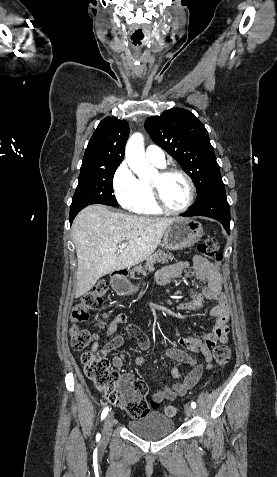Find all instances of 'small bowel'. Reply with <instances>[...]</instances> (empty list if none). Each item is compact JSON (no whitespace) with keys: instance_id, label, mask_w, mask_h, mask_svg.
<instances>
[{"instance_id":"small-bowel-1","label":"small bowel","mask_w":277,"mask_h":477,"mask_svg":"<svg viewBox=\"0 0 277 477\" xmlns=\"http://www.w3.org/2000/svg\"><path fill=\"white\" fill-rule=\"evenodd\" d=\"M192 267L196 272V277L200 283L204 285L202 293L192 290L187 300L181 302L178 308L181 310H191L199 307L202 303L203 297L208 300L215 301V306L211 309L210 315L215 318L214 325L209 332H204L199 335L192 334L188 337L178 338V342L182 348H168L165 352L166 356L175 361L188 364L193 369L185 376L183 381L176 382L172 386H166L157 389L152 401L159 403L162 400H174L177 397L183 396L186 392L194 387L200 380L203 369L212 368V351L217 343H225L228 334V319L229 307L227 298L222 290V281L219 273L213 264L202 256H195L193 262H177L162 267L157 272V280L167 285L173 279L182 275L184 270ZM129 320L125 314H118L107 326L106 338H109L104 346L99 349L102 338H98L92 345V351L106 356L110 352L118 349L127 340H133L142 350H147L150 347L149 339L141 332V330L133 325L127 326V332L124 335H115L120 324L127 323ZM112 336V337H111ZM188 351H199L205 360V366L200 364ZM126 359L124 352L113 356L112 364L115 368H121ZM146 362L145 357L139 356L135 359V364L140 366ZM171 376L175 379L181 378L179 370L174 367L170 371ZM124 382H130L133 379L131 374H126L123 377Z\"/></svg>"}]
</instances>
